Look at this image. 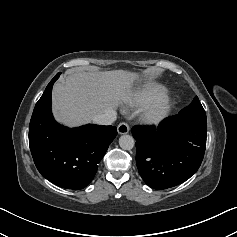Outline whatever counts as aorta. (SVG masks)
Listing matches in <instances>:
<instances>
[{
    "instance_id": "1",
    "label": "aorta",
    "mask_w": 237,
    "mask_h": 237,
    "mask_svg": "<svg viewBox=\"0 0 237 237\" xmlns=\"http://www.w3.org/2000/svg\"><path fill=\"white\" fill-rule=\"evenodd\" d=\"M119 145L124 150H131L135 145L134 138L130 135L124 134L119 138Z\"/></svg>"
}]
</instances>
